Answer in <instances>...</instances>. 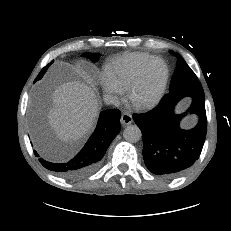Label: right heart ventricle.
Wrapping results in <instances>:
<instances>
[{"label": "right heart ventricle", "mask_w": 231, "mask_h": 231, "mask_svg": "<svg viewBox=\"0 0 231 231\" xmlns=\"http://www.w3.org/2000/svg\"><path fill=\"white\" fill-rule=\"evenodd\" d=\"M151 58V55L141 52L124 54L106 66V75L125 90L133 81L142 65Z\"/></svg>", "instance_id": "obj_1"}]
</instances>
